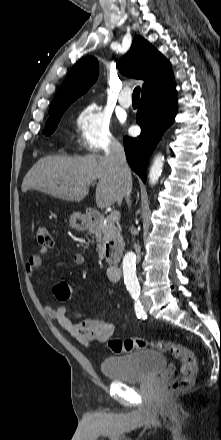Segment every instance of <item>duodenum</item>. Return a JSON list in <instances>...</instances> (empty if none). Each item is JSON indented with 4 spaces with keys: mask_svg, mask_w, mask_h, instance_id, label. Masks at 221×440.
Returning a JSON list of instances; mask_svg holds the SVG:
<instances>
[{
    "mask_svg": "<svg viewBox=\"0 0 221 440\" xmlns=\"http://www.w3.org/2000/svg\"><path fill=\"white\" fill-rule=\"evenodd\" d=\"M87 218L90 226L92 227L97 226L102 219V217L99 214H96L94 212H88ZM107 276L109 277L110 280L117 282L121 279L122 270L118 265L112 263L108 266Z\"/></svg>",
    "mask_w": 221,
    "mask_h": 440,
    "instance_id": "duodenum-1",
    "label": "duodenum"
}]
</instances>
